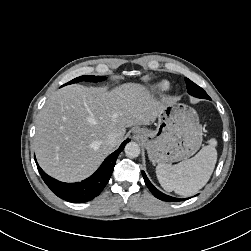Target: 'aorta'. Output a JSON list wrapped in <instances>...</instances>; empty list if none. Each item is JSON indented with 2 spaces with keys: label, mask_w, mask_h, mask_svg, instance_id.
Masks as SVG:
<instances>
[{
  "label": "aorta",
  "mask_w": 251,
  "mask_h": 251,
  "mask_svg": "<svg viewBox=\"0 0 251 251\" xmlns=\"http://www.w3.org/2000/svg\"><path fill=\"white\" fill-rule=\"evenodd\" d=\"M124 151H125L126 156L130 158H135L139 156L141 150L137 143L129 142L126 144Z\"/></svg>",
  "instance_id": "aorta-1"
}]
</instances>
